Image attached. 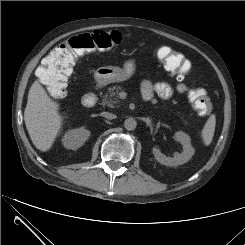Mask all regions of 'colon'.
<instances>
[{
	"label": "colon",
	"mask_w": 245,
	"mask_h": 245,
	"mask_svg": "<svg viewBox=\"0 0 245 245\" xmlns=\"http://www.w3.org/2000/svg\"><path fill=\"white\" fill-rule=\"evenodd\" d=\"M121 34L118 31H94L71 37L52 50L45 58L38 71L49 93L56 98L66 94L69 76L77 59L92 51L110 50L120 45ZM160 60L179 78L189 69V63L184 57L170 49L160 52ZM189 101L195 111L201 116H209L213 104L205 89L195 88L189 91Z\"/></svg>",
	"instance_id": "1"
}]
</instances>
